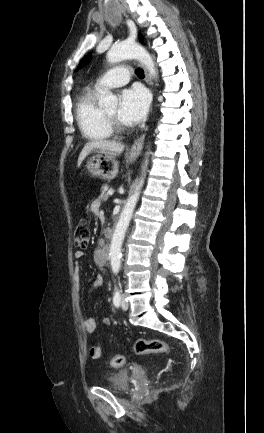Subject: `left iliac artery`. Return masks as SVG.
<instances>
[{
    "mask_svg": "<svg viewBox=\"0 0 264 433\" xmlns=\"http://www.w3.org/2000/svg\"><path fill=\"white\" fill-rule=\"evenodd\" d=\"M120 299H121L120 290L118 288H116L114 296H113V303H114V305L116 307H119V305H120Z\"/></svg>",
    "mask_w": 264,
    "mask_h": 433,
    "instance_id": "obj_1",
    "label": "left iliac artery"
}]
</instances>
